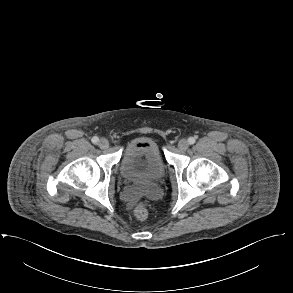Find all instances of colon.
Masks as SVG:
<instances>
[{"label":"colon","instance_id":"colon-1","mask_svg":"<svg viewBox=\"0 0 293 293\" xmlns=\"http://www.w3.org/2000/svg\"><path fill=\"white\" fill-rule=\"evenodd\" d=\"M134 216L137 220L143 221L148 217V208L146 203H139L134 209Z\"/></svg>","mask_w":293,"mask_h":293}]
</instances>
